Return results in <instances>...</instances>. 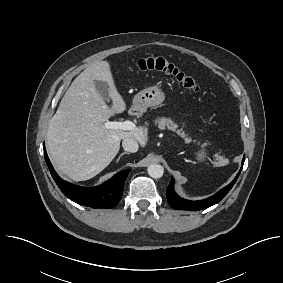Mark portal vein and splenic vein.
<instances>
[{
  "label": "portal vein and splenic vein",
  "instance_id": "1",
  "mask_svg": "<svg viewBox=\"0 0 283 283\" xmlns=\"http://www.w3.org/2000/svg\"><path fill=\"white\" fill-rule=\"evenodd\" d=\"M105 128L107 129H120V130H129L134 131L136 130V125L131 122L130 120H126L124 122H105L104 123Z\"/></svg>",
  "mask_w": 283,
  "mask_h": 283
}]
</instances>
